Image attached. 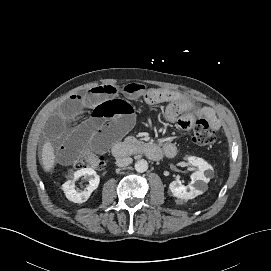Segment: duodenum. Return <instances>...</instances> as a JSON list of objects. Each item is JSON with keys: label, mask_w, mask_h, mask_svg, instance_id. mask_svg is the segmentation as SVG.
Segmentation results:
<instances>
[{"label": "duodenum", "mask_w": 271, "mask_h": 271, "mask_svg": "<svg viewBox=\"0 0 271 271\" xmlns=\"http://www.w3.org/2000/svg\"><path fill=\"white\" fill-rule=\"evenodd\" d=\"M139 150L141 153H143L145 156L152 160H159L163 155H165L164 149L154 144H144L140 147ZM136 151L137 149L131 147L129 144L118 143L113 146L112 155L116 158H121L124 156H128Z\"/></svg>", "instance_id": "1"}]
</instances>
